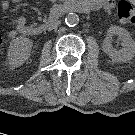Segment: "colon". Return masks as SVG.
Returning a JSON list of instances; mask_svg holds the SVG:
<instances>
[{"label": "colon", "mask_w": 135, "mask_h": 135, "mask_svg": "<svg viewBox=\"0 0 135 135\" xmlns=\"http://www.w3.org/2000/svg\"><path fill=\"white\" fill-rule=\"evenodd\" d=\"M117 15L119 20L123 24L131 25L133 23L135 25V7L126 0H121L117 3ZM2 44V40L0 39V46Z\"/></svg>", "instance_id": "1"}]
</instances>
